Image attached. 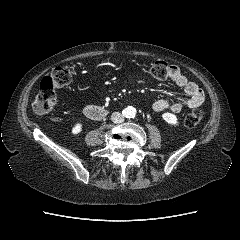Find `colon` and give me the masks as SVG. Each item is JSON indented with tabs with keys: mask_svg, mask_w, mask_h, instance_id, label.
Here are the masks:
<instances>
[{
	"mask_svg": "<svg viewBox=\"0 0 240 240\" xmlns=\"http://www.w3.org/2000/svg\"><path fill=\"white\" fill-rule=\"evenodd\" d=\"M149 73L155 79L164 80L169 75V65L164 61H155L149 66ZM71 70L66 67H55L49 75L45 76L39 87L32 108L37 114H46L50 112L57 103L56 90L67 86L72 81ZM203 117L201 110H194L188 113L184 118L185 126L192 128L196 126Z\"/></svg>",
	"mask_w": 240,
	"mask_h": 240,
	"instance_id": "5ec220e1",
	"label": "colon"
}]
</instances>
